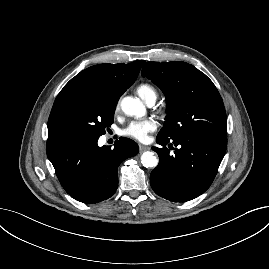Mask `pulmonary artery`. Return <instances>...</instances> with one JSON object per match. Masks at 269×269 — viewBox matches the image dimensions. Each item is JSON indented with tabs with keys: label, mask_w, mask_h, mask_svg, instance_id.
<instances>
[{
	"label": "pulmonary artery",
	"mask_w": 269,
	"mask_h": 269,
	"mask_svg": "<svg viewBox=\"0 0 269 269\" xmlns=\"http://www.w3.org/2000/svg\"><path fill=\"white\" fill-rule=\"evenodd\" d=\"M155 103V99H151L150 101L147 102L149 106H152Z\"/></svg>",
	"instance_id": "e3ab8cb5"
}]
</instances>
